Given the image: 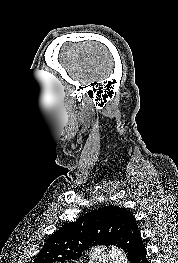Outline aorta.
I'll return each instance as SVG.
<instances>
[{
    "label": "aorta",
    "instance_id": "1",
    "mask_svg": "<svg viewBox=\"0 0 178 263\" xmlns=\"http://www.w3.org/2000/svg\"><path fill=\"white\" fill-rule=\"evenodd\" d=\"M109 255L113 263H128L125 254L117 247H111Z\"/></svg>",
    "mask_w": 178,
    "mask_h": 263
}]
</instances>
